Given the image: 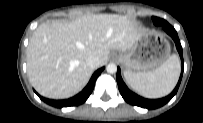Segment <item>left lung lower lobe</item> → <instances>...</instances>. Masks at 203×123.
Wrapping results in <instances>:
<instances>
[{
    "label": "left lung lower lobe",
    "instance_id": "obj_1",
    "mask_svg": "<svg viewBox=\"0 0 203 123\" xmlns=\"http://www.w3.org/2000/svg\"><path fill=\"white\" fill-rule=\"evenodd\" d=\"M161 25L163 29L173 38L175 44H176V48L179 52L180 58H181V62H182V71H181V75L179 78V81L175 87V89L166 97L161 98V99H145L143 97H140L138 95H136L135 93L131 92L127 86L125 85V83L123 82L122 78H121V71L120 68L117 69V83H118V88L119 91L122 95V97L130 104L135 105V106H139L142 108H147V109H155V108H159L163 105H165L167 102H169L173 96L177 93L181 79H182V75H183V65H184V61H183V54H182V46L180 44V40L178 38L177 32L176 30L165 20H161Z\"/></svg>",
    "mask_w": 203,
    "mask_h": 123
}]
</instances>
